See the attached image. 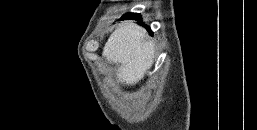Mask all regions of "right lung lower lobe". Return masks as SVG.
<instances>
[{"label":"right lung lower lobe","instance_id":"1","mask_svg":"<svg viewBox=\"0 0 257 130\" xmlns=\"http://www.w3.org/2000/svg\"><path fill=\"white\" fill-rule=\"evenodd\" d=\"M141 18L140 15H133V14H126L124 16H122V20H127V19H138Z\"/></svg>","mask_w":257,"mask_h":130}]
</instances>
